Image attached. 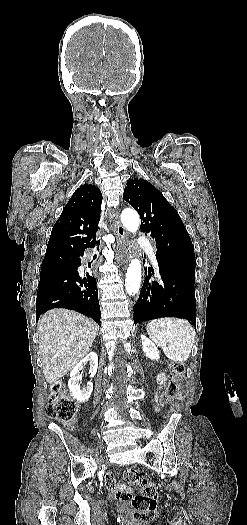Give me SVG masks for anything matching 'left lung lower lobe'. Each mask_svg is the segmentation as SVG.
I'll list each match as a JSON object with an SVG mask.
<instances>
[{
	"instance_id": "obj_1",
	"label": "left lung lower lobe",
	"mask_w": 247,
	"mask_h": 525,
	"mask_svg": "<svg viewBox=\"0 0 247 525\" xmlns=\"http://www.w3.org/2000/svg\"><path fill=\"white\" fill-rule=\"evenodd\" d=\"M157 261L159 280L150 282L155 273L146 268L145 282L134 305L135 324L160 317H179L190 320L196 327L195 271L177 267L173 261Z\"/></svg>"
}]
</instances>
